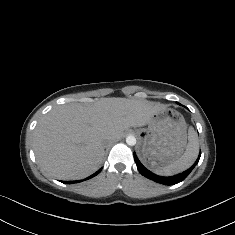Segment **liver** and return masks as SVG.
<instances>
[{"label": "liver", "instance_id": "liver-1", "mask_svg": "<svg viewBox=\"0 0 235 235\" xmlns=\"http://www.w3.org/2000/svg\"><path fill=\"white\" fill-rule=\"evenodd\" d=\"M143 99L106 98L86 107L61 105L44 115L33 133V148L43 172L62 180L84 178L104 158L105 141L130 127L146 126L165 109Z\"/></svg>", "mask_w": 235, "mask_h": 235}]
</instances>
